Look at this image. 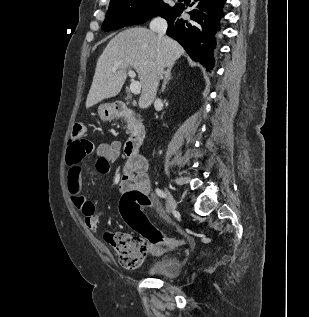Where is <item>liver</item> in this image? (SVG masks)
I'll return each instance as SVG.
<instances>
[{"instance_id": "6515ba94", "label": "liver", "mask_w": 309, "mask_h": 317, "mask_svg": "<svg viewBox=\"0 0 309 317\" xmlns=\"http://www.w3.org/2000/svg\"><path fill=\"white\" fill-rule=\"evenodd\" d=\"M183 53L175 40L169 37L160 40L147 28L134 27L120 32L111 39L97 61L86 108L118 95L127 78L128 67L136 70L141 83L139 107H149L157 93L158 69L172 68ZM119 62L121 64L113 71Z\"/></svg>"}]
</instances>
